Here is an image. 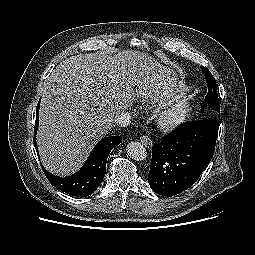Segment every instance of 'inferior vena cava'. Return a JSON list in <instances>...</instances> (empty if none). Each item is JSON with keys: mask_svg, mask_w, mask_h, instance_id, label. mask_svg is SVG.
Segmentation results:
<instances>
[{"mask_svg": "<svg viewBox=\"0 0 255 255\" xmlns=\"http://www.w3.org/2000/svg\"><path fill=\"white\" fill-rule=\"evenodd\" d=\"M114 121L121 127H126L132 122V118L129 112H121L114 118Z\"/></svg>", "mask_w": 255, "mask_h": 255, "instance_id": "inferior-vena-cava-1", "label": "inferior vena cava"}]
</instances>
